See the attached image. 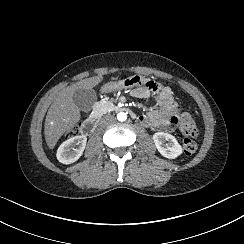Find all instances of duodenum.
Instances as JSON below:
<instances>
[{
  "mask_svg": "<svg viewBox=\"0 0 244 244\" xmlns=\"http://www.w3.org/2000/svg\"><path fill=\"white\" fill-rule=\"evenodd\" d=\"M117 109L128 112L134 118H137L138 116L137 114L133 113V111H131L130 109L124 108V106H118ZM99 116L100 115L98 113H93L81 124L80 131L83 135L89 136L94 132Z\"/></svg>",
  "mask_w": 244,
  "mask_h": 244,
  "instance_id": "duodenum-1",
  "label": "duodenum"
}]
</instances>
